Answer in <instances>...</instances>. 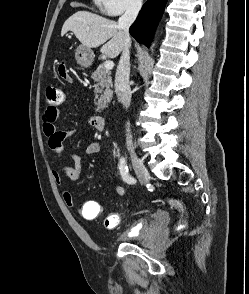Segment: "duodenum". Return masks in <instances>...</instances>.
Returning a JSON list of instances; mask_svg holds the SVG:
<instances>
[{"instance_id":"duodenum-1","label":"duodenum","mask_w":249,"mask_h":294,"mask_svg":"<svg viewBox=\"0 0 249 294\" xmlns=\"http://www.w3.org/2000/svg\"><path fill=\"white\" fill-rule=\"evenodd\" d=\"M91 125L97 130L102 131L105 126V119L101 115H93L90 119Z\"/></svg>"}]
</instances>
